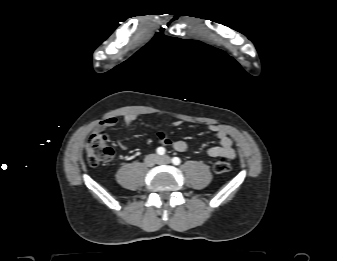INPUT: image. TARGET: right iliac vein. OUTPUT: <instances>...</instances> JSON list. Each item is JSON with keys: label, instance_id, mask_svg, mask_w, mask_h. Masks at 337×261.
<instances>
[{"label": "right iliac vein", "instance_id": "63e3f726", "mask_svg": "<svg viewBox=\"0 0 337 261\" xmlns=\"http://www.w3.org/2000/svg\"><path fill=\"white\" fill-rule=\"evenodd\" d=\"M159 157L155 154H150L145 158V164L149 167L154 166L156 163H158Z\"/></svg>", "mask_w": 337, "mask_h": 261}]
</instances>
